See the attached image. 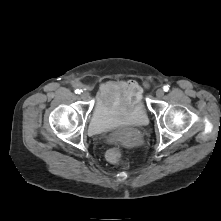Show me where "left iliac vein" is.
<instances>
[{
	"mask_svg": "<svg viewBox=\"0 0 221 221\" xmlns=\"http://www.w3.org/2000/svg\"><path fill=\"white\" fill-rule=\"evenodd\" d=\"M164 95V90L159 88L156 90V96L157 98H161Z\"/></svg>",
	"mask_w": 221,
	"mask_h": 221,
	"instance_id": "4c4485c4",
	"label": "left iliac vein"
}]
</instances>
